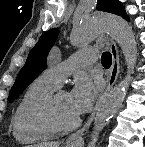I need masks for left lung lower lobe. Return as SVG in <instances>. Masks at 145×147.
Listing matches in <instances>:
<instances>
[{"mask_svg":"<svg viewBox=\"0 0 145 147\" xmlns=\"http://www.w3.org/2000/svg\"><path fill=\"white\" fill-rule=\"evenodd\" d=\"M123 17L128 20V17L126 16V14Z\"/></svg>","mask_w":145,"mask_h":147,"instance_id":"0a47b994","label":"left lung lower lobe"}]
</instances>
